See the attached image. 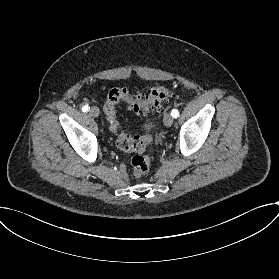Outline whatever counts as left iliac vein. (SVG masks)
<instances>
[{
  "label": "left iliac vein",
  "mask_w": 279,
  "mask_h": 279,
  "mask_svg": "<svg viewBox=\"0 0 279 279\" xmlns=\"http://www.w3.org/2000/svg\"><path fill=\"white\" fill-rule=\"evenodd\" d=\"M165 125L167 127H171L173 125V118L169 114L165 117Z\"/></svg>",
  "instance_id": "1"
}]
</instances>
